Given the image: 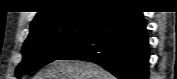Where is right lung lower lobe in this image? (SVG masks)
<instances>
[{
  "label": "right lung lower lobe",
  "mask_w": 177,
  "mask_h": 79,
  "mask_svg": "<svg viewBox=\"0 0 177 79\" xmlns=\"http://www.w3.org/2000/svg\"><path fill=\"white\" fill-rule=\"evenodd\" d=\"M149 56L142 12L119 6L107 9L87 37L58 60L90 61L119 79H148Z\"/></svg>",
  "instance_id": "1"
}]
</instances>
